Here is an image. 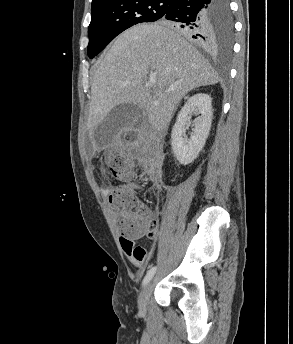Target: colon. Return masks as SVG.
<instances>
[{
  "mask_svg": "<svg viewBox=\"0 0 293 344\" xmlns=\"http://www.w3.org/2000/svg\"><path fill=\"white\" fill-rule=\"evenodd\" d=\"M104 159L112 175L127 183L114 188L109 195V203L121 232L129 238L143 235L153 237L156 222L152 219L150 211L133 194V165L118 151L106 153Z\"/></svg>",
  "mask_w": 293,
  "mask_h": 344,
  "instance_id": "5ec220e1",
  "label": "colon"
}]
</instances>
